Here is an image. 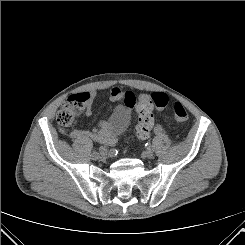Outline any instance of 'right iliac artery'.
I'll return each mask as SVG.
<instances>
[{"label":"right iliac artery","instance_id":"82829eb1","mask_svg":"<svg viewBox=\"0 0 245 245\" xmlns=\"http://www.w3.org/2000/svg\"><path fill=\"white\" fill-rule=\"evenodd\" d=\"M99 154H101L102 156H107L108 155V149L100 147L99 148Z\"/></svg>","mask_w":245,"mask_h":245}]
</instances>
